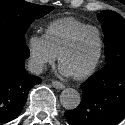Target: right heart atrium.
I'll return each instance as SVG.
<instances>
[{
    "instance_id": "1",
    "label": "right heart atrium",
    "mask_w": 125,
    "mask_h": 125,
    "mask_svg": "<svg viewBox=\"0 0 125 125\" xmlns=\"http://www.w3.org/2000/svg\"><path fill=\"white\" fill-rule=\"evenodd\" d=\"M26 47L29 54V64L35 72H42L57 58V55L48 46L44 35L31 34L27 38Z\"/></svg>"
}]
</instances>
